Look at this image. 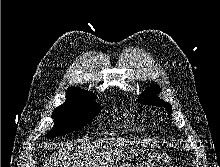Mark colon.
<instances>
[{
    "mask_svg": "<svg viewBox=\"0 0 220 167\" xmlns=\"http://www.w3.org/2000/svg\"><path fill=\"white\" fill-rule=\"evenodd\" d=\"M171 167H179V166H177V165H172Z\"/></svg>",
    "mask_w": 220,
    "mask_h": 167,
    "instance_id": "colon-1",
    "label": "colon"
}]
</instances>
